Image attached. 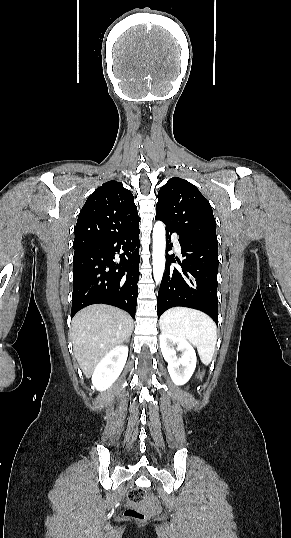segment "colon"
<instances>
[{
    "instance_id": "obj_1",
    "label": "colon",
    "mask_w": 291,
    "mask_h": 538,
    "mask_svg": "<svg viewBox=\"0 0 291 538\" xmlns=\"http://www.w3.org/2000/svg\"><path fill=\"white\" fill-rule=\"evenodd\" d=\"M144 497H145V493L140 488H134L130 490L127 495L128 501L133 504L141 502L144 499ZM125 515L129 518H133L139 521H145L150 517L149 512L139 510L133 507L129 508L126 511Z\"/></svg>"
}]
</instances>
